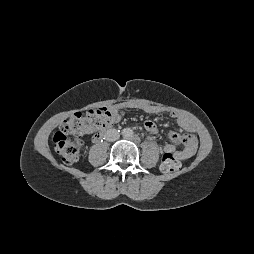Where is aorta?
<instances>
[{
  "label": "aorta",
  "mask_w": 254,
  "mask_h": 254,
  "mask_svg": "<svg viewBox=\"0 0 254 254\" xmlns=\"http://www.w3.org/2000/svg\"><path fill=\"white\" fill-rule=\"evenodd\" d=\"M133 130L131 128H124L122 130V135L124 138H131L133 136Z\"/></svg>",
  "instance_id": "1"
}]
</instances>
